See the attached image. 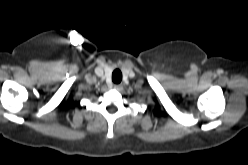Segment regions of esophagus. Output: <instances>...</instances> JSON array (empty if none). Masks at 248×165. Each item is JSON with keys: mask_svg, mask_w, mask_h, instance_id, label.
<instances>
[{"mask_svg": "<svg viewBox=\"0 0 248 165\" xmlns=\"http://www.w3.org/2000/svg\"><path fill=\"white\" fill-rule=\"evenodd\" d=\"M113 88L117 91H121L123 89V85L122 84H115V85H113Z\"/></svg>", "mask_w": 248, "mask_h": 165, "instance_id": "esophagus-1", "label": "esophagus"}]
</instances>
